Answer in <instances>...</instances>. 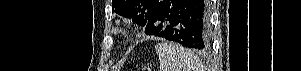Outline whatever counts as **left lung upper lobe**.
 I'll list each match as a JSON object with an SVG mask.
<instances>
[{
    "instance_id": "1",
    "label": "left lung upper lobe",
    "mask_w": 301,
    "mask_h": 71,
    "mask_svg": "<svg viewBox=\"0 0 301 71\" xmlns=\"http://www.w3.org/2000/svg\"><path fill=\"white\" fill-rule=\"evenodd\" d=\"M160 1L161 0H112V12L143 25L153 15Z\"/></svg>"
}]
</instances>
